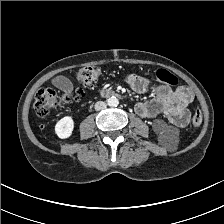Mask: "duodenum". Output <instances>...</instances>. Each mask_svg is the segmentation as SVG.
<instances>
[{"instance_id":"duodenum-1","label":"duodenum","mask_w":224,"mask_h":224,"mask_svg":"<svg viewBox=\"0 0 224 224\" xmlns=\"http://www.w3.org/2000/svg\"><path fill=\"white\" fill-rule=\"evenodd\" d=\"M101 93L104 96H112V95H114V92L111 89H108V88L103 89Z\"/></svg>"}]
</instances>
